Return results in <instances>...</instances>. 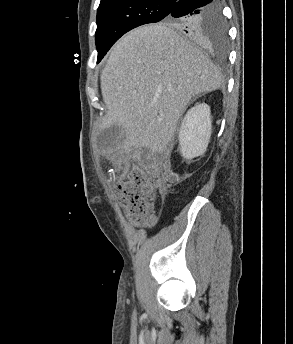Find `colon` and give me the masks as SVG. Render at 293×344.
Returning <instances> with one entry per match:
<instances>
[{"label":"colon","mask_w":293,"mask_h":344,"mask_svg":"<svg viewBox=\"0 0 293 344\" xmlns=\"http://www.w3.org/2000/svg\"><path fill=\"white\" fill-rule=\"evenodd\" d=\"M155 181L138 167H132L118 186L125 213L137 225L152 224L155 218Z\"/></svg>","instance_id":"1"}]
</instances>
